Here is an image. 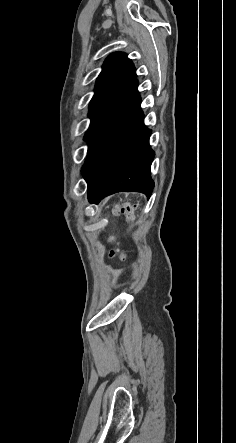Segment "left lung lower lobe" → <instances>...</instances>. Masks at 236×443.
Listing matches in <instances>:
<instances>
[{
	"label": "left lung lower lobe",
	"mask_w": 236,
	"mask_h": 443,
	"mask_svg": "<svg viewBox=\"0 0 236 443\" xmlns=\"http://www.w3.org/2000/svg\"><path fill=\"white\" fill-rule=\"evenodd\" d=\"M137 79L86 132L88 156L82 174L88 184V200L96 203L120 191L152 194L150 167L154 151L151 130L144 126Z\"/></svg>",
	"instance_id": "0a47b994"
}]
</instances>
